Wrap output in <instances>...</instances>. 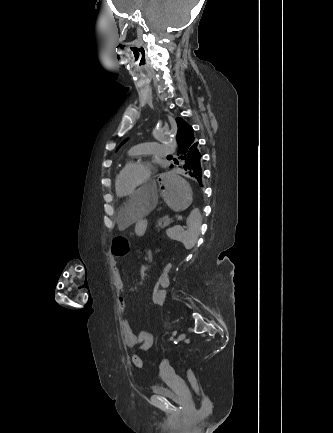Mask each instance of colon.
<instances>
[{"mask_svg":"<svg viewBox=\"0 0 333 433\" xmlns=\"http://www.w3.org/2000/svg\"><path fill=\"white\" fill-rule=\"evenodd\" d=\"M131 239L130 236H113L111 241V250H112V257L113 258H124L125 253L129 252V245H130ZM173 269V266L170 264V262H167V264L164 265V270L161 271V275H159V280H157V285H153L152 289V304L155 305V307H160L161 303V294L159 286L162 285V280H164L165 277L168 276V272H170ZM132 365L138 369H141L143 367L142 359L138 355H134L131 358ZM187 378L194 389V391L197 394H202V388L192 370H189L187 372Z\"/></svg>","mask_w":333,"mask_h":433,"instance_id":"5ec220e1","label":"colon"}]
</instances>
